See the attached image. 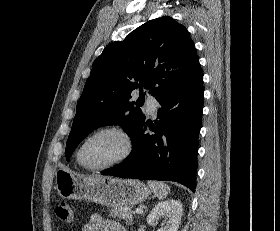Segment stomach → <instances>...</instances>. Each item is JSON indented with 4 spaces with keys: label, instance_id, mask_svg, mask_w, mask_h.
<instances>
[{
    "label": "stomach",
    "instance_id": "0dacf381",
    "mask_svg": "<svg viewBox=\"0 0 280 231\" xmlns=\"http://www.w3.org/2000/svg\"><path fill=\"white\" fill-rule=\"evenodd\" d=\"M57 193L66 199H89L100 205H135L149 197L151 191L138 179H119L102 175H83L68 167L55 173Z\"/></svg>",
    "mask_w": 280,
    "mask_h": 231
}]
</instances>
